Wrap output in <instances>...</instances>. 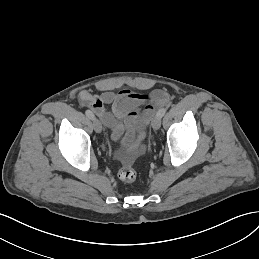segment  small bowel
Returning <instances> with one entry per match:
<instances>
[{
	"label": "small bowel",
	"mask_w": 259,
	"mask_h": 259,
	"mask_svg": "<svg viewBox=\"0 0 259 259\" xmlns=\"http://www.w3.org/2000/svg\"><path fill=\"white\" fill-rule=\"evenodd\" d=\"M100 95H93L87 90L78 94L82 105L89 107L111 129V139L116 141L125 131L123 144L129 152H138L143 148L146 137V128L154 113L155 107L166 104L169 95L162 91H154L145 96L134 93L129 89L114 92L100 86ZM111 105V111L107 109ZM143 106V111L138 108Z\"/></svg>",
	"instance_id": "obj_1"
}]
</instances>
